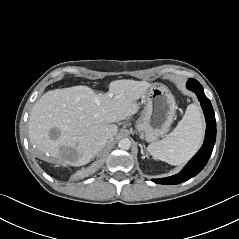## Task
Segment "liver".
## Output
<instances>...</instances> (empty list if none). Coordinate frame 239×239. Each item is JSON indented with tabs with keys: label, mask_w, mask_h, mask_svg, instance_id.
I'll return each mask as SVG.
<instances>
[{
	"label": "liver",
	"mask_w": 239,
	"mask_h": 239,
	"mask_svg": "<svg viewBox=\"0 0 239 239\" xmlns=\"http://www.w3.org/2000/svg\"><path fill=\"white\" fill-rule=\"evenodd\" d=\"M151 86L146 81L128 79L111 82L104 94L83 85L48 91L30 113V142L46 161L83 166L98 153L100 139H112L117 134L118 127L113 123L138 111L137 100ZM52 130L58 131L54 138ZM68 148L75 150L76 159L64 157Z\"/></svg>",
	"instance_id": "1"
}]
</instances>
